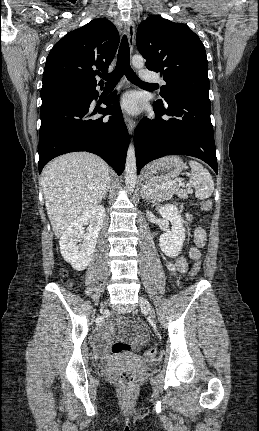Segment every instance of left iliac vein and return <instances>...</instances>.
<instances>
[{
	"label": "left iliac vein",
	"mask_w": 259,
	"mask_h": 431,
	"mask_svg": "<svg viewBox=\"0 0 259 431\" xmlns=\"http://www.w3.org/2000/svg\"><path fill=\"white\" fill-rule=\"evenodd\" d=\"M139 303L142 309H145L151 317L154 318V310L147 299L140 297Z\"/></svg>",
	"instance_id": "left-iliac-vein-1"
}]
</instances>
